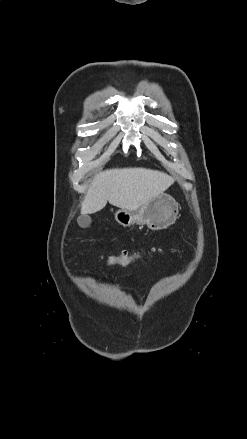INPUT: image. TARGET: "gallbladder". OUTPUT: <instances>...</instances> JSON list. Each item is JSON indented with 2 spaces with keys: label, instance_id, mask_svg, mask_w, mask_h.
I'll return each instance as SVG.
<instances>
[{
  "label": "gallbladder",
  "instance_id": "1",
  "mask_svg": "<svg viewBox=\"0 0 247 439\" xmlns=\"http://www.w3.org/2000/svg\"><path fill=\"white\" fill-rule=\"evenodd\" d=\"M77 222L81 228H86L90 225L91 218H90V216L83 214V215L78 217Z\"/></svg>",
  "mask_w": 247,
  "mask_h": 439
}]
</instances>
